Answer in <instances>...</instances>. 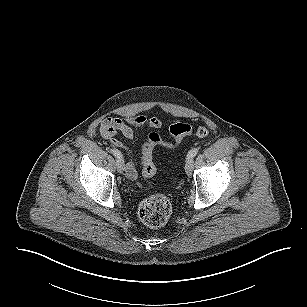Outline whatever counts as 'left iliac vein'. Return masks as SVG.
Returning a JSON list of instances; mask_svg holds the SVG:
<instances>
[{
    "label": "left iliac vein",
    "mask_w": 307,
    "mask_h": 307,
    "mask_svg": "<svg viewBox=\"0 0 307 307\" xmlns=\"http://www.w3.org/2000/svg\"><path fill=\"white\" fill-rule=\"evenodd\" d=\"M194 169V161L192 158L187 159L186 164H185V172L188 176L192 175Z\"/></svg>",
    "instance_id": "4c4485c4"
}]
</instances>
